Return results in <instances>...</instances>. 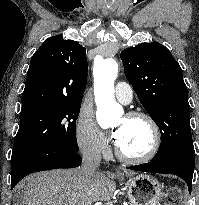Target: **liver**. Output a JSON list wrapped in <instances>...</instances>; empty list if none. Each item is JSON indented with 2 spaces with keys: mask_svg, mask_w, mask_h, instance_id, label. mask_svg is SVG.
<instances>
[{
  "mask_svg": "<svg viewBox=\"0 0 199 205\" xmlns=\"http://www.w3.org/2000/svg\"><path fill=\"white\" fill-rule=\"evenodd\" d=\"M125 171L126 176H134ZM23 205H92L110 201L116 186L109 177L98 173L93 182L80 176L79 168L51 170L29 176Z\"/></svg>",
  "mask_w": 199,
  "mask_h": 205,
  "instance_id": "obj_1",
  "label": "liver"
}]
</instances>
